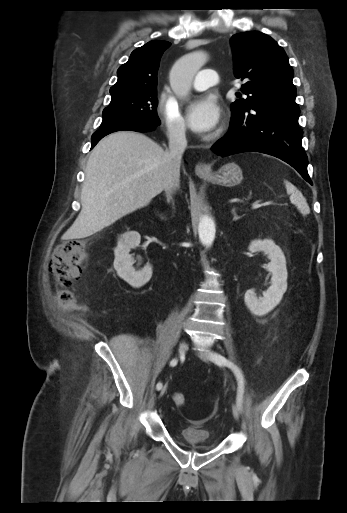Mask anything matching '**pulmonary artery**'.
Wrapping results in <instances>:
<instances>
[{
	"instance_id": "pulmonary-artery-1",
	"label": "pulmonary artery",
	"mask_w": 347,
	"mask_h": 513,
	"mask_svg": "<svg viewBox=\"0 0 347 513\" xmlns=\"http://www.w3.org/2000/svg\"><path fill=\"white\" fill-rule=\"evenodd\" d=\"M218 82L219 75L216 70L202 69L197 73L193 81V88L195 90L202 91L210 86L216 85Z\"/></svg>"
}]
</instances>
